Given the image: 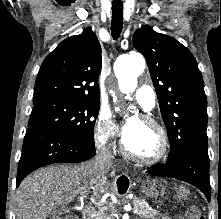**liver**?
Here are the masks:
<instances>
[{"instance_id":"1","label":"liver","mask_w":221,"mask_h":219,"mask_svg":"<svg viewBox=\"0 0 221 219\" xmlns=\"http://www.w3.org/2000/svg\"><path fill=\"white\" fill-rule=\"evenodd\" d=\"M106 173V172H105ZM105 173L94 161L77 166H49L27 176L16 192V219H47L92 189L96 198L108 193Z\"/></svg>"}]
</instances>
